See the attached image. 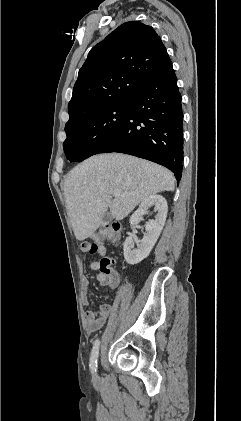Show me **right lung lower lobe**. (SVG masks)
<instances>
[{
  "mask_svg": "<svg viewBox=\"0 0 241 421\" xmlns=\"http://www.w3.org/2000/svg\"><path fill=\"white\" fill-rule=\"evenodd\" d=\"M182 97L170 58L128 99L126 120L95 154L120 152L170 169L180 181L183 161Z\"/></svg>",
  "mask_w": 241,
  "mask_h": 421,
  "instance_id": "98d812e1",
  "label": "right lung lower lobe"
}]
</instances>
